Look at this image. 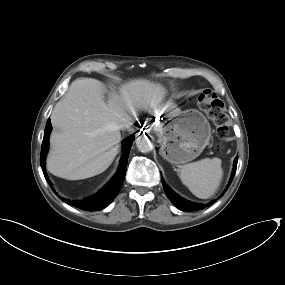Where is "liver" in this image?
<instances>
[{"mask_svg": "<svg viewBox=\"0 0 285 285\" xmlns=\"http://www.w3.org/2000/svg\"><path fill=\"white\" fill-rule=\"evenodd\" d=\"M165 89L145 79H135L103 100L102 84L93 78L72 82L54 107L52 125L59 131L50 136L47 169L67 180H81L104 172L118 153L120 126L137 110L160 114L179 113L172 102L162 105ZM174 109V110H173Z\"/></svg>", "mask_w": 285, "mask_h": 285, "instance_id": "obj_1", "label": "liver"}]
</instances>
